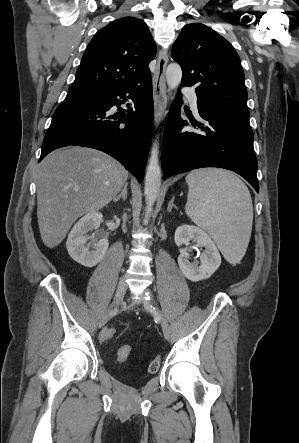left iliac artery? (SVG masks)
<instances>
[{"label":"left iliac artery","instance_id":"44dca946","mask_svg":"<svg viewBox=\"0 0 299 443\" xmlns=\"http://www.w3.org/2000/svg\"><path fill=\"white\" fill-rule=\"evenodd\" d=\"M149 299H150L149 295H148V294H146V300H149Z\"/></svg>","mask_w":299,"mask_h":443}]
</instances>
